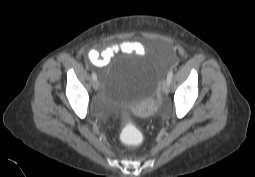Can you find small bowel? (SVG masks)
I'll return each instance as SVG.
<instances>
[{
	"instance_id": "1",
	"label": "small bowel",
	"mask_w": 255,
	"mask_h": 177,
	"mask_svg": "<svg viewBox=\"0 0 255 177\" xmlns=\"http://www.w3.org/2000/svg\"><path fill=\"white\" fill-rule=\"evenodd\" d=\"M119 52L143 53L144 46L136 41L120 40L101 51L91 49L87 54V58L92 65L104 67L107 66Z\"/></svg>"
}]
</instances>
